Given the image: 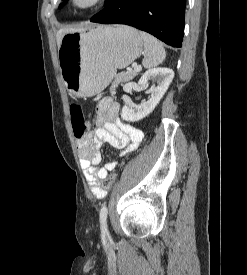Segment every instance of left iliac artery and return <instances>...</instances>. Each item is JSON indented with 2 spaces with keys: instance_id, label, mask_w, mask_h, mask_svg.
<instances>
[{
  "instance_id": "44dca946",
  "label": "left iliac artery",
  "mask_w": 247,
  "mask_h": 275,
  "mask_svg": "<svg viewBox=\"0 0 247 275\" xmlns=\"http://www.w3.org/2000/svg\"><path fill=\"white\" fill-rule=\"evenodd\" d=\"M107 214H108L107 206L103 205L100 210V224H101V230L103 234L107 233Z\"/></svg>"
}]
</instances>
